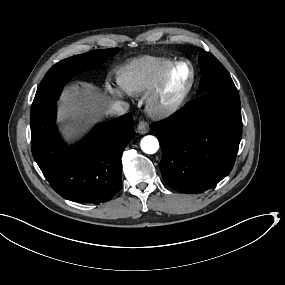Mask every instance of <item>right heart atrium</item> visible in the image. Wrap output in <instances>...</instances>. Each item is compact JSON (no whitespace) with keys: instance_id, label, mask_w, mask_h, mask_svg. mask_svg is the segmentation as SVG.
Returning <instances> with one entry per match:
<instances>
[{"instance_id":"obj_1","label":"right heart atrium","mask_w":285,"mask_h":285,"mask_svg":"<svg viewBox=\"0 0 285 285\" xmlns=\"http://www.w3.org/2000/svg\"><path fill=\"white\" fill-rule=\"evenodd\" d=\"M106 89L109 95L115 100H121L125 97V94L121 88L112 86L109 82L106 83Z\"/></svg>"}]
</instances>
